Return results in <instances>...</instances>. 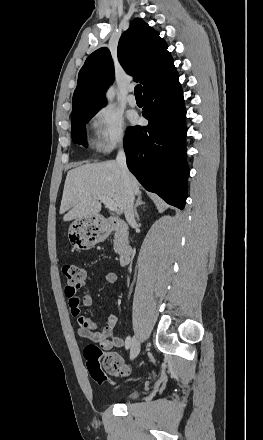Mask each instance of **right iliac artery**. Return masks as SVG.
Masks as SVG:
<instances>
[{
  "instance_id": "82829eb1",
  "label": "right iliac artery",
  "mask_w": 263,
  "mask_h": 440,
  "mask_svg": "<svg viewBox=\"0 0 263 440\" xmlns=\"http://www.w3.org/2000/svg\"><path fill=\"white\" fill-rule=\"evenodd\" d=\"M131 346V337L128 336L125 340V348L128 350Z\"/></svg>"
}]
</instances>
